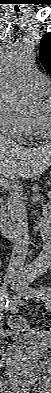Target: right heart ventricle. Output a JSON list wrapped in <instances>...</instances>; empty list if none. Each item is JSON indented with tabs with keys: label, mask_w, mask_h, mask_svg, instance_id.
<instances>
[{
	"label": "right heart ventricle",
	"mask_w": 51,
	"mask_h": 393,
	"mask_svg": "<svg viewBox=\"0 0 51 393\" xmlns=\"http://www.w3.org/2000/svg\"><path fill=\"white\" fill-rule=\"evenodd\" d=\"M27 135H33L36 137H41V132L34 120V118H28L27 122Z\"/></svg>",
	"instance_id": "right-heart-ventricle-1"
}]
</instances>
